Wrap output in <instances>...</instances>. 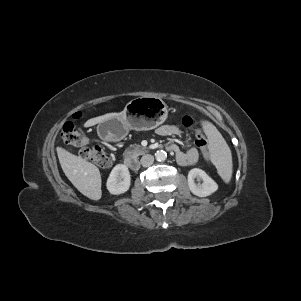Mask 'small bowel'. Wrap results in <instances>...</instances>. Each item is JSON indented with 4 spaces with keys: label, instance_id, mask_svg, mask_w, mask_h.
I'll return each mask as SVG.
<instances>
[{
    "label": "small bowel",
    "instance_id": "small-bowel-1",
    "mask_svg": "<svg viewBox=\"0 0 301 301\" xmlns=\"http://www.w3.org/2000/svg\"><path fill=\"white\" fill-rule=\"evenodd\" d=\"M157 134L159 136H179L181 137L182 130L175 125H163L157 129ZM168 147L173 148V152L176 154L177 161L182 165H191L195 163L199 156V151L196 147H188L185 150H179L174 144H170Z\"/></svg>",
    "mask_w": 301,
    "mask_h": 301
}]
</instances>
